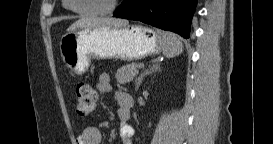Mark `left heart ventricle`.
<instances>
[{
  "label": "left heart ventricle",
  "instance_id": "b2bd125f",
  "mask_svg": "<svg viewBox=\"0 0 273 144\" xmlns=\"http://www.w3.org/2000/svg\"><path fill=\"white\" fill-rule=\"evenodd\" d=\"M112 0H74V6L80 10H100L109 5Z\"/></svg>",
  "mask_w": 273,
  "mask_h": 144
}]
</instances>
